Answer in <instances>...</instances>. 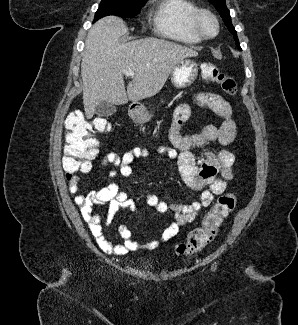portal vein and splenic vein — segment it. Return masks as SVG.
Returning a JSON list of instances; mask_svg holds the SVG:
<instances>
[{
	"label": "portal vein and splenic vein",
	"instance_id": "18ae733b",
	"mask_svg": "<svg viewBox=\"0 0 298 325\" xmlns=\"http://www.w3.org/2000/svg\"><path fill=\"white\" fill-rule=\"evenodd\" d=\"M124 74H126V76H134L135 72L134 70H124Z\"/></svg>",
	"mask_w": 298,
	"mask_h": 325
}]
</instances>
